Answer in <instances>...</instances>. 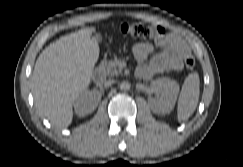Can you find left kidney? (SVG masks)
<instances>
[{
	"mask_svg": "<svg viewBox=\"0 0 243 167\" xmlns=\"http://www.w3.org/2000/svg\"><path fill=\"white\" fill-rule=\"evenodd\" d=\"M150 87L153 92L160 93L161 95L158 100L153 98L148 99L151 110L156 114L170 113L175 105L179 92L178 83L169 78H161L152 81Z\"/></svg>",
	"mask_w": 243,
	"mask_h": 167,
	"instance_id": "obj_1",
	"label": "left kidney"
}]
</instances>
